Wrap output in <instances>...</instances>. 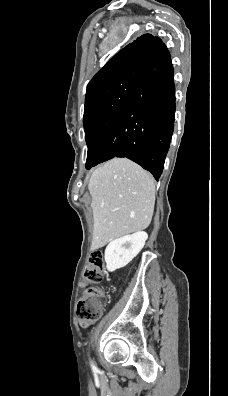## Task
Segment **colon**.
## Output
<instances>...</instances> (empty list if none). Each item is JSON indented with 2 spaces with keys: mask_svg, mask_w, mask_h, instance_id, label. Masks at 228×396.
I'll return each instance as SVG.
<instances>
[{
  "mask_svg": "<svg viewBox=\"0 0 228 396\" xmlns=\"http://www.w3.org/2000/svg\"><path fill=\"white\" fill-rule=\"evenodd\" d=\"M104 268L103 254L100 251L92 252L82 273V284L99 283L102 280ZM105 305L106 296L100 289L86 290L77 305V316L81 325L88 326L98 320Z\"/></svg>",
  "mask_w": 228,
  "mask_h": 396,
  "instance_id": "5ec220e1",
  "label": "colon"
}]
</instances>
